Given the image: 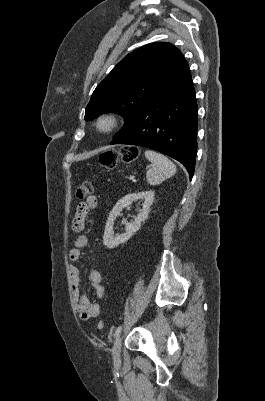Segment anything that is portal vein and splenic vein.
<instances>
[{"label": "portal vein and splenic vein", "mask_w": 265, "mask_h": 401, "mask_svg": "<svg viewBox=\"0 0 265 401\" xmlns=\"http://www.w3.org/2000/svg\"><path fill=\"white\" fill-rule=\"evenodd\" d=\"M127 180H128V181H133V180H134V175H133V174H130V175L127 177Z\"/></svg>", "instance_id": "obj_1"}]
</instances>
